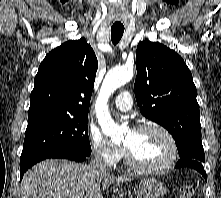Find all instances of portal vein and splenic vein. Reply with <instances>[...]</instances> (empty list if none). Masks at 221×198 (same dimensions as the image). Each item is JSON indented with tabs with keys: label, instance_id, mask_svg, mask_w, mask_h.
Returning a JSON list of instances; mask_svg holds the SVG:
<instances>
[{
	"label": "portal vein and splenic vein",
	"instance_id": "obj_1",
	"mask_svg": "<svg viewBox=\"0 0 221 198\" xmlns=\"http://www.w3.org/2000/svg\"><path fill=\"white\" fill-rule=\"evenodd\" d=\"M82 195H75V196H72L71 198H81Z\"/></svg>",
	"mask_w": 221,
	"mask_h": 198
}]
</instances>
